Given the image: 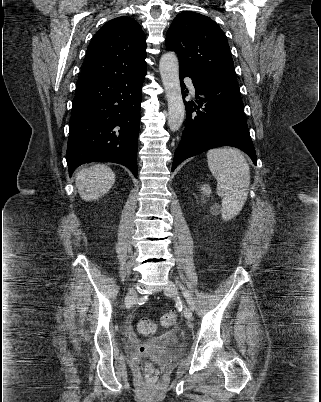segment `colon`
Here are the masks:
<instances>
[{
    "label": "colon",
    "instance_id": "1",
    "mask_svg": "<svg viewBox=\"0 0 321 402\" xmlns=\"http://www.w3.org/2000/svg\"><path fill=\"white\" fill-rule=\"evenodd\" d=\"M176 320H177V313L175 311H172L165 314L161 318V324L163 326L169 327L174 325ZM137 328L141 334L149 335L155 332L156 325L152 320L148 318H142L138 321ZM144 373L148 383L153 384L157 381L159 373L157 369L153 367L151 364L147 363L144 365Z\"/></svg>",
    "mask_w": 321,
    "mask_h": 402
}]
</instances>
